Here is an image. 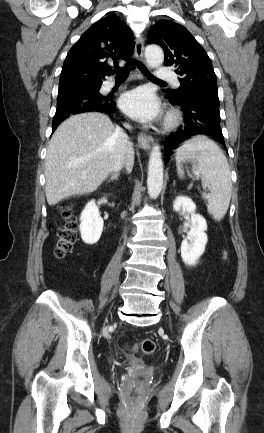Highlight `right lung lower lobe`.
I'll return each mask as SVG.
<instances>
[{"mask_svg":"<svg viewBox=\"0 0 264 433\" xmlns=\"http://www.w3.org/2000/svg\"><path fill=\"white\" fill-rule=\"evenodd\" d=\"M102 81L84 85H73L63 90L59 89L57 109L53 119V131L70 115L97 111L106 114L116 112L113 95L99 93Z\"/></svg>","mask_w":264,"mask_h":433,"instance_id":"right-lung-lower-lobe-1","label":"right lung lower lobe"}]
</instances>
